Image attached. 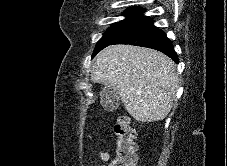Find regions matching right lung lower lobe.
<instances>
[{"mask_svg":"<svg viewBox=\"0 0 227 166\" xmlns=\"http://www.w3.org/2000/svg\"><path fill=\"white\" fill-rule=\"evenodd\" d=\"M113 44H130L156 49L171 57L175 62H178V57L172 43L162 30L153 25L151 19H147L138 27L109 45Z\"/></svg>","mask_w":227,"mask_h":166,"instance_id":"right-lung-lower-lobe-1","label":"right lung lower lobe"}]
</instances>
